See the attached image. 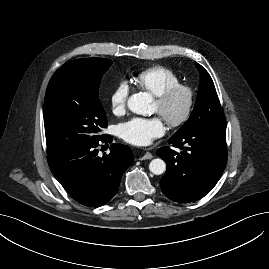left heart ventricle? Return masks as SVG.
<instances>
[{
    "label": "left heart ventricle",
    "instance_id": "left-heart-ventricle-1",
    "mask_svg": "<svg viewBox=\"0 0 269 269\" xmlns=\"http://www.w3.org/2000/svg\"><path fill=\"white\" fill-rule=\"evenodd\" d=\"M185 103L186 95L183 92H178L164 107H161L156 101H154L153 111L161 116L176 117L182 112Z\"/></svg>",
    "mask_w": 269,
    "mask_h": 269
}]
</instances>
